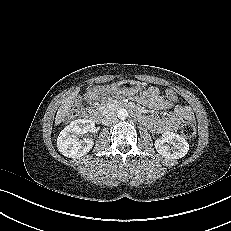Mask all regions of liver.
<instances>
[{"label": "liver", "mask_w": 231, "mask_h": 231, "mask_svg": "<svg viewBox=\"0 0 231 231\" xmlns=\"http://www.w3.org/2000/svg\"><path fill=\"white\" fill-rule=\"evenodd\" d=\"M78 92H73L70 95H68L65 100L62 102V105L59 107L56 117H55V124L59 125L64 121V118L68 111L71 109L74 100L77 96Z\"/></svg>", "instance_id": "1"}]
</instances>
